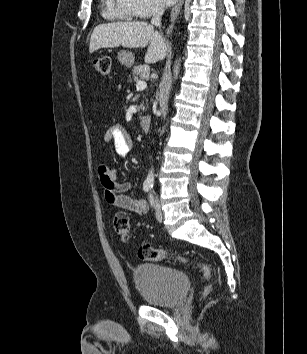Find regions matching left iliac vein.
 I'll list each match as a JSON object with an SVG mask.
<instances>
[{
	"mask_svg": "<svg viewBox=\"0 0 307 354\" xmlns=\"http://www.w3.org/2000/svg\"><path fill=\"white\" fill-rule=\"evenodd\" d=\"M155 214L157 220L161 222L163 219V214H162L160 202L158 200L155 203Z\"/></svg>",
	"mask_w": 307,
	"mask_h": 354,
	"instance_id": "obj_1",
	"label": "left iliac vein"
}]
</instances>
